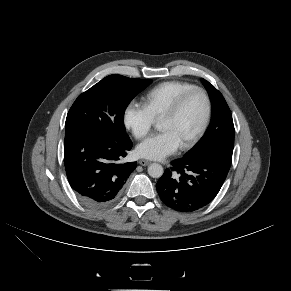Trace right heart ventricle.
<instances>
[{
    "instance_id": "obj_1",
    "label": "right heart ventricle",
    "mask_w": 291,
    "mask_h": 291,
    "mask_svg": "<svg viewBox=\"0 0 291 291\" xmlns=\"http://www.w3.org/2000/svg\"><path fill=\"white\" fill-rule=\"evenodd\" d=\"M193 87H195L193 84L185 81L162 82L151 88L142 97L143 106L154 120L160 119L181 94Z\"/></svg>"
}]
</instances>
